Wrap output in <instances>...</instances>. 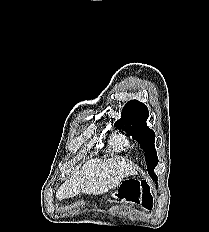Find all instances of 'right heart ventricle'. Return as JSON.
Wrapping results in <instances>:
<instances>
[{"label": "right heart ventricle", "mask_w": 209, "mask_h": 232, "mask_svg": "<svg viewBox=\"0 0 209 232\" xmlns=\"http://www.w3.org/2000/svg\"><path fill=\"white\" fill-rule=\"evenodd\" d=\"M111 146L115 150H120L123 148L121 140L118 136L113 137V139L111 140Z\"/></svg>", "instance_id": "e07e8e85"}]
</instances>
